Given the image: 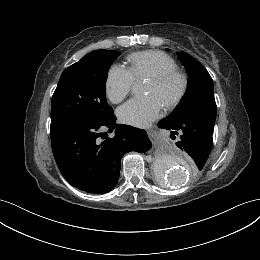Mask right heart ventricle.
I'll use <instances>...</instances> for the list:
<instances>
[{
    "label": "right heart ventricle",
    "mask_w": 260,
    "mask_h": 260,
    "mask_svg": "<svg viewBox=\"0 0 260 260\" xmlns=\"http://www.w3.org/2000/svg\"><path fill=\"white\" fill-rule=\"evenodd\" d=\"M127 61L129 64L128 70L135 81L177 70L176 62L167 54L157 50L133 53L127 58Z\"/></svg>",
    "instance_id": "right-heart-ventricle-1"
}]
</instances>
